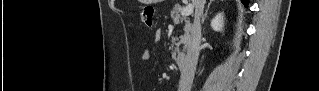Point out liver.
Wrapping results in <instances>:
<instances>
[{"label": "liver", "mask_w": 319, "mask_h": 91, "mask_svg": "<svg viewBox=\"0 0 319 91\" xmlns=\"http://www.w3.org/2000/svg\"><path fill=\"white\" fill-rule=\"evenodd\" d=\"M195 1H196V0H192L193 4H195Z\"/></svg>", "instance_id": "liver-1"}]
</instances>
